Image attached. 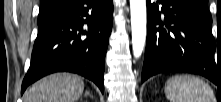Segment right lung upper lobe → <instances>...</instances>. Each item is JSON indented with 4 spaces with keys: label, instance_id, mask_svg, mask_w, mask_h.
<instances>
[{
    "label": "right lung upper lobe",
    "instance_id": "obj_1",
    "mask_svg": "<svg viewBox=\"0 0 221 102\" xmlns=\"http://www.w3.org/2000/svg\"><path fill=\"white\" fill-rule=\"evenodd\" d=\"M69 0H41L40 10L53 9L57 10Z\"/></svg>",
    "mask_w": 221,
    "mask_h": 102
}]
</instances>
